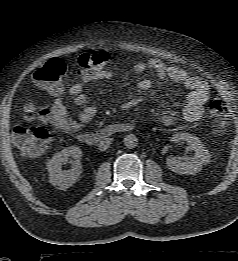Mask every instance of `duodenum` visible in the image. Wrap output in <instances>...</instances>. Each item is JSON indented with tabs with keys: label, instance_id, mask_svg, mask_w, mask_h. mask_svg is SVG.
Returning <instances> with one entry per match:
<instances>
[{
	"label": "duodenum",
	"instance_id": "duodenum-1",
	"mask_svg": "<svg viewBox=\"0 0 238 261\" xmlns=\"http://www.w3.org/2000/svg\"><path fill=\"white\" fill-rule=\"evenodd\" d=\"M132 129L131 123L111 124L96 131L79 133L77 139L83 144L94 146L115 134L130 132Z\"/></svg>",
	"mask_w": 238,
	"mask_h": 261
}]
</instances>
